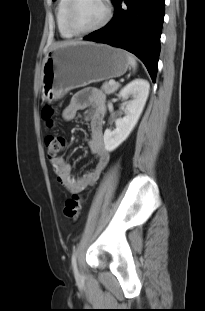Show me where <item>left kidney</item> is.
Wrapping results in <instances>:
<instances>
[{"label": "left kidney", "mask_w": 205, "mask_h": 311, "mask_svg": "<svg viewBox=\"0 0 205 311\" xmlns=\"http://www.w3.org/2000/svg\"><path fill=\"white\" fill-rule=\"evenodd\" d=\"M150 85L144 79H135L127 84L119 93L126 100L130 96L132 100L124 104L125 117L115 120L116 129L104 132V146L108 152L114 151L130 135L136 126L149 95Z\"/></svg>", "instance_id": "obj_1"}]
</instances>
